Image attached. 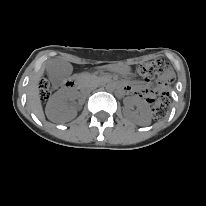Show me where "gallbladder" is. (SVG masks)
<instances>
[{
	"instance_id": "obj_1",
	"label": "gallbladder",
	"mask_w": 206,
	"mask_h": 206,
	"mask_svg": "<svg viewBox=\"0 0 206 206\" xmlns=\"http://www.w3.org/2000/svg\"><path fill=\"white\" fill-rule=\"evenodd\" d=\"M46 70L51 83L58 87L70 77L73 67L64 60L51 59L46 63Z\"/></svg>"
}]
</instances>
